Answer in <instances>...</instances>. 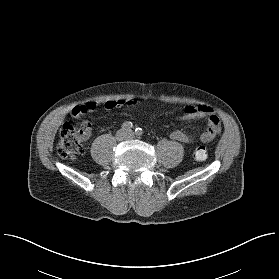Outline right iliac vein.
<instances>
[{"label": "right iliac vein", "instance_id": "63e3f726", "mask_svg": "<svg viewBox=\"0 0 279 279\" xmlns=\"http://www.w3.org/2000/svg\"><path fill=\"white\" fill-rule=\"evenodd\" d=\"M124 135H125V131L123 129H120L116 134L117 137H122Z\"/></svg>", "mask_w": 279, "mask_h": 279}]
</instances>
